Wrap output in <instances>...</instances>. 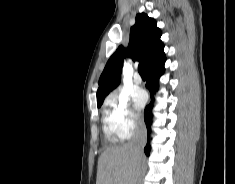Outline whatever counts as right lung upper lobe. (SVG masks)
Wrapping results in <instances>:
<instances>
[{"label": "right lung upper lobe", "mask_w": 235, "mask_h": 184, "mask_svg": "<svg viewBox=\"0 0 235 184\" xmlns=\"http://www.w3.org/2000/svg\"><path fill=\"white\" fill-rule=\"evenodd\" d=\"M161 30L154 19L145 13L137 14L136 22L130 29V40L127 49L119 46L109 58L99 79L97 105H102L105 96L120 83L123 60L126 56L132 60H141L146 69L163 58L164 44L160 40Z\"/></svg>", "instance_id": "cb5924a9"}]
</instances>
